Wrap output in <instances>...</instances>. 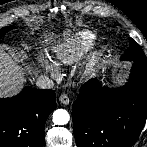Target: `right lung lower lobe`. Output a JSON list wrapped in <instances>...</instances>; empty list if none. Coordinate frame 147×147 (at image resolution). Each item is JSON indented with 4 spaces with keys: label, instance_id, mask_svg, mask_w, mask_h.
I'll use <instances>...</instances> for the list:
<instances>
[{
    "label": "right lung lower lobe",
    "instance_id": "obj_1",
    "mask_svg": "<svg viewBox=\"0 0 147 147\" xmlns=\"http://www.w3.org/2000/svg\"><path fill=\"white\" fill-rule=\"evenodd\" d=\"M55 105V91L29 86L0 99V147H43L44 125Z\"/></svg>",
    "mask_w": 147,
    "mask_h": 147
}]
</instances>
